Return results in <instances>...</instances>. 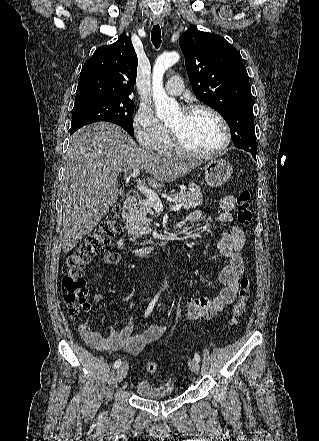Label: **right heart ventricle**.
I'll list each match as a JSON object with an SVG mask.
<instances>
[{
    "mask_svg": "<svg viewBox=\"0 0 319 441\" xmlns=\"http://www.w3.org/2000/svg\"><path fill=\"white\" fill-rule=\"evenodd\" d=\"M162 151L168 152V153H171L174 151L169 135H168V139H167L164 147L162 148Z\"/></svg>",
    "mask_w": 319,
    "mask_h": 441,
    "instance_id": "obj_1",
    "label": "right heart ventricle"
}]
</instances>
